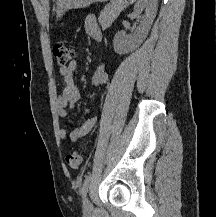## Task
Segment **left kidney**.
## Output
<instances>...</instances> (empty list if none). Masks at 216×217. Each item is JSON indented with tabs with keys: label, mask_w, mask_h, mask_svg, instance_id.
<instances>
[{
	"label": "left kidney",
	"mask_w": 216,
	"mask_h": 217,
	"mask_svg": "<svg viewBox=\"0 0 216 217\" xmlns=\"http://www.w3.org/2000/svg\"><path fill=\"white\" fill-rule=\"evenodd\" d=\"M157 4L158 0H138L134 6L135 16L139 18L143 9H145V15L140 17V25L132 37L124 38L121 32L115 34L113 47L117 54L130 52L145 40L156 16Z\"/></svg>",
	"instance_id": "left-kidney-1"
}]
</instances>
